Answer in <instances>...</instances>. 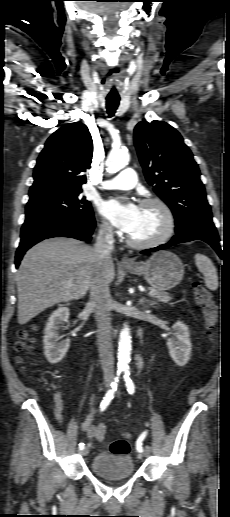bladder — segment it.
Masks as SVG:
<instances>
[{"mask_svg": "<svg viewBox=\"0 0 230 517\" xmlns=\"http://www.w3.org/2000/svg\"><path fill=\"white\" fill-rule=\"evenodd\" d=\"M91 472L104 479H122L134 474V464L128 455L100 452L92 460Z\"/></svg>", "mask_w": 230, "mask_h": 517, "instance_id": "31cf9c89", "label": "bladder"}]
</instances>
